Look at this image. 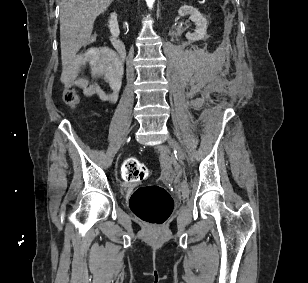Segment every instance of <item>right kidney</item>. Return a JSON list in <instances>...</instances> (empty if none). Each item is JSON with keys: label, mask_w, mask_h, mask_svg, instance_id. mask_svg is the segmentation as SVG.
Returning <instances> with one entry per match:
<instances>
[{"label": "right kidney", "mask_w": 308, "mask_h": 283, "mask_svg": "<svg viewBox=\"0 0 308 283\" xmlns=\"http://www.w3.org/2000/svg\"><path fill=\"white\" fill-rule=\"evenodd\" d=\"M108 27L110 29L111 34L114 37H118L120 34L119 26H118V21H117V14L112 13L110 15L109 21H108Z\"/></svg>", "instance_id": "obj_1"}]
</instances>
